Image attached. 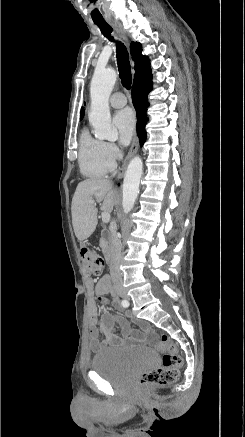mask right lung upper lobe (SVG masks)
<instances>
[{
  "label": "right lung upper lobe",
  "mask_w": 245,
  "mask_h": 437,
  "mask_svg": "<svg viewBox=\"0 0 245 437\" xmlns=\"http://www.w3.org/2000/svg\"><path fill=\"white\" fill-rule=\"evenodd\" d=\"M142 45L138 42H132L130 44V52L135 62V77L133 85L151 79V69L149 66V58L141 54ZM84 116V109L81 108L80 118Z\"/></svg>",
  "instance_id": "cb5924a9"
}]
</instances>
